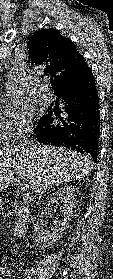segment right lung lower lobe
Here are the masks:
<instances>
[{
	"label": "right lung lower lobe",
	"mask_w": 113,
	"mask_h": 279,
	"mask_svg": "<svg viewBox=\"0 0 113 279\" xmlns=\"http://www.w3.org/2000/svg\"><path fill=\"white\" fill-rule=\"evenodd\" d=\"M57 96L62 100V110L50 111L38 123L35 128L38 141L87 153L97 161L100 107L92 71Z\"/></svg>",
	"instance_id": "98d812e1"
}]
</instances>
